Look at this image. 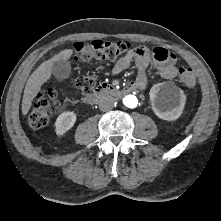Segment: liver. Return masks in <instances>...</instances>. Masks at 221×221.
Instances as JSON below:
<instances>
[{
  "label": "liver",
  "mask_w": 221,
  "mask_h": 221,
  "mask_svg": "<svg viewBox=\"0 0 221 221\" xmlns=\"http://www.w3.org/2000/svg\"><path fill=\"white\" fill-rule=\"evenodd\" d=\"M73 54L72 49H65L60 51L58 54L54 55L51 59L44 61L28 78L23 99H22V113L26 115L32 105V102L38 92L41 89V86L46 83L52 74L53 63L57 60H68Z\"/></svg>",
  "instance_id": "6515ba94"
}]
</instances>
